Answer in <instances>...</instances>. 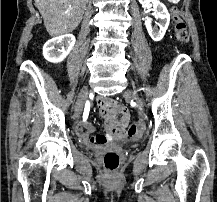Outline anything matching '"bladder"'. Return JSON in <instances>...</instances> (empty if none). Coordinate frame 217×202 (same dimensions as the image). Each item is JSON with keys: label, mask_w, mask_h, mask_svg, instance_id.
<instances>
[{"label": "bladder", "mask_w": 217, "mask_h": 202, "mask_svg": "<svg viewBox=\"0 0 217 202\" xmlns=\"http://www.w3.org/2000/svg\"><path fill=\"white\" fill-rule=\"evenodd\" d=\"M119 146V144H115V147H118Z\"/></svg>", "instance_id": "1"}]
</instances>
